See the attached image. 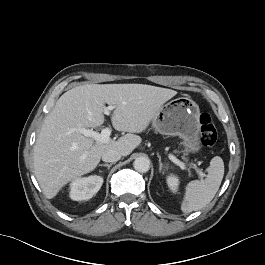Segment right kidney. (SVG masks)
Returning <instances> with one entry per match:
<instances>
[{"label":"right kidney","mask_w":265,"mask_h":265,"mask_svg":"<svg viewBox=\"0 0 265 265\" xmlns=\"http://www.w3.org/2000/svg\"><path fill=\"white\" fill-rule=\"evenodd\" d=\"M103 184V178L97 175L75 179L70 184V198L75 201L89 200Z\"/></svg>","instance_id":"right-kidney-1"}]
</instances>
